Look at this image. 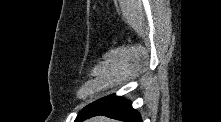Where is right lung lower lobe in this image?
I'll list each match as a JSON object with an SVG mask.
<instances>
[{
  "label": "right lung lower lobe",
  "instance_id": "98d812e1",
  "mask_svg": "<svg viewBox=\"0 0 221 122\" xmlns=\"http://www.w3.org/2000/svg\"><path fill=\"white\" fill-rule=\"evenodd\" d=\"M98 115H105L125 122H142L141 116L132 108L130 101L115 95L89 104L78 114L76 121H83Z\"/></svg>",
  "mask_w": 221,
  "mask_h": 122
}]
</instances>
